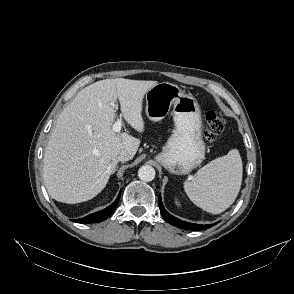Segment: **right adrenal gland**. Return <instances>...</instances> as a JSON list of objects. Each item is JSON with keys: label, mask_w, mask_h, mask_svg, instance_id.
<instances>
[{"label": "right adrenal gland", "mask_w": 294, "mask_h": 294, "mask_svg": "<svg viewBox=\"0 0 294 294\" xmlns=\"http://www.w3.org/2000/svg\"><path fill=\"white\" fill-rule=\"evenodd\" d=\"M118 169V166L113 170L112 174H114Z\"/></svg>", "instance_id": "2a0ac1e0"}]
</instances>
